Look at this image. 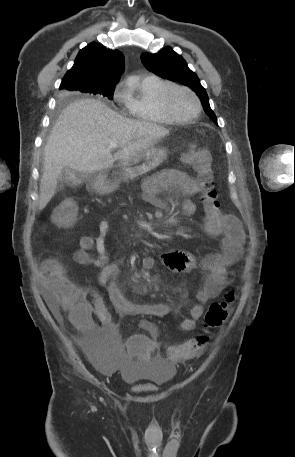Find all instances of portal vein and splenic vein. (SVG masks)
Instances as JSON below:
<instances>
[{
  "mask_svg": "<svg viewBox=\"0 0 295 457\" xmlns=\"http://www.w3.org/2000/svg\"><path fill=\"white\" fill-rule=\"evenodd\" d=\"M118 145H119L118 142H115V141H114V142H111V143L109 144V147H108V148H109V149H115V148L118 147Z\"/></svg>",
  "mask_w": 295,
  "mask_h": 457,
  "instance_id": "portal-vein-and-splenic-vein-1",
  "label": "portal vein and splenic vein"
}]
</instances>
